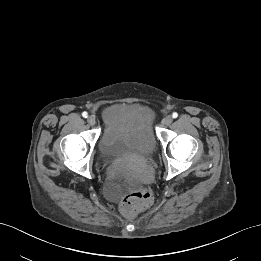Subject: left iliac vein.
I'll use <instances>...</instances> for the list:
<instances>
[{
  "label": "left iliac vein",
  "mask_w": 261,
  "mask_h": 261,
  "mask_svg": "<svg viewBox=\"0 0 261 261\" xmlns=\"http://www.w3.org/2000/svg\"><path fill=\"white\" fill-rule=\"evenodd\" d=\"M172 121H173V119L170 115L165 116L163 119V123L167 126L170 125L172 123Z\"/></svg>",
  "instance_id": "left-iliac-vein-1"
}]
</instances>
